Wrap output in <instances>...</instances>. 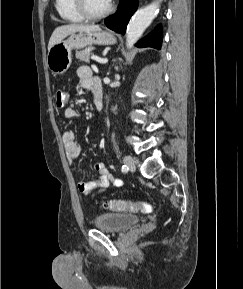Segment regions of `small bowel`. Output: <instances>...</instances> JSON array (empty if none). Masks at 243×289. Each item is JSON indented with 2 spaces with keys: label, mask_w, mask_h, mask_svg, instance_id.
<instances>
[{
  "label": "small bowel",
  "mask_w": 243,
  "mask_h": 289,
  "mask_svg": "<svg viewBox=\"0 0 243 289\" xmlns=\"http://www.w3.org/2000/svg\"><path fill=\"white\" fill-rule=\"evenodd\" d=\"M76 78L80 86L89 90L92 95L93 91L97 87H101V83L98 78L92 75L91 70L86 66H80L75 72ZM64 116L69 120H74L77 117V113L74 108L68 107L64 111ZM62 140L65 147L66 157L70 163H74L75 160L81 155L82 148L77 143L75 134L73 131H65L62 134ZM94 168L99 177L96 180L90 182H79L78 190L85 195H96L106 192L110 185L115 187H123L124 181L120 178L114 177L106 168L103 162H96Z\"/></svg>",
  "instance_id": "1"
}]
</instances>
